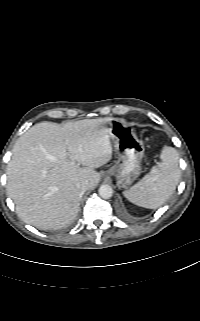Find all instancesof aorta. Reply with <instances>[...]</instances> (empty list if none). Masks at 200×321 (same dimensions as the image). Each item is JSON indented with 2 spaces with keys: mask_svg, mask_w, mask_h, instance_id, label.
<instances>
[{
  "mask_svg": "<svg viewBox=\"0 0 200 321\" xmlns=\"http://www.w3.org/2000/svg\"><path fill=\"white\" fill-rule=\"evenodd\" d=\"M99 195L103 198V199H109L112 197L113 195V189L110 185H102L99 188Z\"/></svg>",
  "mask_w": 200,
  "mask_h": 321,
  "instance_id": "aorta-1",
  "label": "aorta"
}]
</instances>
